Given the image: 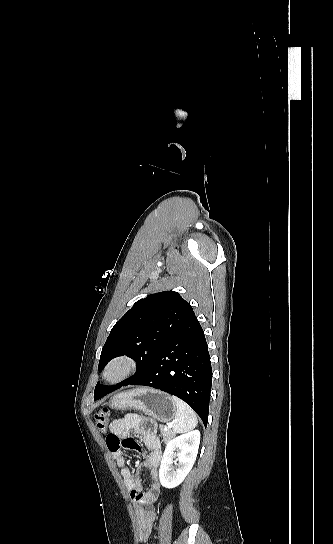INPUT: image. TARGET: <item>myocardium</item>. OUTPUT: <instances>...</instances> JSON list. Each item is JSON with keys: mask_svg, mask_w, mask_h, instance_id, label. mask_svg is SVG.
<instances>
[{"mask_svg": "<svg viewBox=\"0 0 333 544\" xmlns=\"http://www.w3.org/2000/svg\"><path fill=\"white\" fill-rule=\"evenodd\" d=\"M137 361L128 355L112 358L103 369V378L108 384H119L130 378L137 370Z\"/></svg>", "mask_w": 333, "mask_h": 544, "instance_id": "myocardium-1", "label": "myocardium"}]
</instances>
